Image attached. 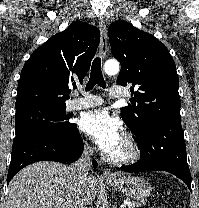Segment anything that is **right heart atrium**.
Here are the masks:
<instances>
[{
	"instance_id": "1",
	"label": "right heart atrium",
	"mask_w": 199,
	"mask_h": 208,
	"mask_svg": "<svg viewBox=\"0 0 199 208\" xmlns=\"http://www.w3.org/2000/svg\"><path fill=\"white\" fill-rule=\"evenodd\" d=\"M83 144H84L85 150H86L88 153H91L92 150H93L92 146H91L87 141H84Z\"/></svg>"
}]
</instances>
